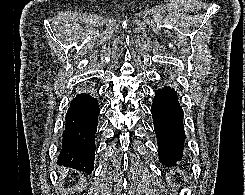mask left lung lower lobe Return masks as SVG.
Returning a JSON list of instances; mask_svg holds the SVG:
<instances>
[{
	"mask_svg": "<svg viewBox=\"0 0 245 195\" xmlns=\"http://www.w3.org/2000/svg\"><path fill=\"white\" fill-rule=\"evenodd\" d=\"M176 94L170 86L157 90L151 107L159 159L167 166L174 165L183 156V111Z\"/></svg>",
	"mask_w": 245,
	"mask_h": 195,
	"instance_id": "obj_1",
	"label": "left lung lower lobe"
}]
</instances>
